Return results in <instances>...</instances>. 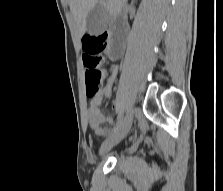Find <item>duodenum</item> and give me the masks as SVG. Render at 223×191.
<instances>
[{
    "label": "duodenum",
    "instance_id": "410a0bca",
    "mask_svg": "<svg viewBox=\"0 0 223 191\" xmlns=\"http://www.w3.org/2000/svg\"><path fill=\"white\" fill-rule=\"evenodd\" d=\"M126 32H127V30H126L125 26L119 27L116 30V35L119 39V42L116 46L113 47V49L110 52V55H111L112 58H118L121 55L122 48H123L122 41L125 38Z\"/></svg>",
    "mask_w": 223,
    "mask_h": 191
}]
</instances>
